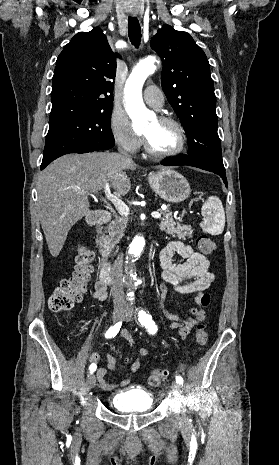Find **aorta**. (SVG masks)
Instances as JSON below:
<instances>
[{
  "mask_svg": "<svg viewBox=\"0 0 279 465\" xmlns=\"http://www.w3.org/2000/svg\"><path fill=\"white\" fill-rule=\"evenodd\" d=\"M154 64V57L142 60L134 67L125 83L126 111L133 122L134 130L142 129L151 117V112L145 107L142 99V88L147 77L154 72ZM144 245V237L136 236L133 239L128 250L129 264L141 254ZM131 273L132 271L129 268L127 272L129 280L131 279Z\"/></svg>",
  "mask_w": 279,
  "mask_h": 465,
  "instance_id": "obj_1",
  "label": "aorta"
}]
</instances>
